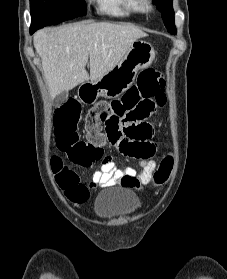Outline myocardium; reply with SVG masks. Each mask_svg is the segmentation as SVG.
Returning a JSON list of instances; mask_svg holds the SVG:
<instances>
[{
  "label": "myocardium",
  "instance_id": "myocardium-1",
  "mask_svg": "<svg viewBox=\"0 0 227 279\" xmlns=\"http://www.w3.org/2000/svg\"><path fill=\"white\" fill-rule=\"evenodd\" d=\"M141 10L145 13H153V4L151 0H140Z\"/></svg>",
  "mask_w": 227,
  "mask_h": 279
}]
</instances>
